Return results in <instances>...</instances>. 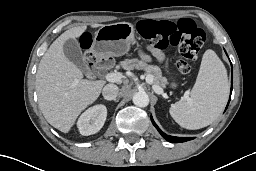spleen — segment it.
Masks as SVG:
<instances>
[{"mask_svg":"<svg viewBox=\"0 0 256 171\" xmlns=\"http://www.w3.org/2000/svg\"><path fill=\"white\" fill-rule=\"evenodd\" d=\"M229 94L227 71L213 50H206L190 98L169 109L171 117L183 128L195 130L213 123L224 110Z\"/></svg>","mask_w":256,"mask_h":171,"instance_id":"spleen-1","label":"spleen"}]
</instances>
